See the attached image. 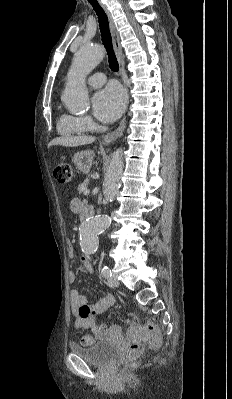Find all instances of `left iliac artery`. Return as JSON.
Listing matches in <instances>:
<instances>
[{"mask_svg": "<svg viewBox=\"0 0 232 399\" xmlns=\"http://www.w3.org/2000/svg\"><path fill=\"white\" fill-rule=\"evenodd\" d=\"M102 274H103L105 277H107V278H110V277L112 276L111 269H110V267H109L108 265H104V266L102 267Z\"/></svg>", "mask_w": 232, "mask_h": 399, "instance_id": "44dca946", "label": "left iliac artery"}]
</instances>
